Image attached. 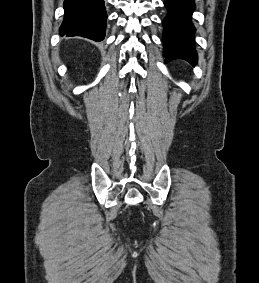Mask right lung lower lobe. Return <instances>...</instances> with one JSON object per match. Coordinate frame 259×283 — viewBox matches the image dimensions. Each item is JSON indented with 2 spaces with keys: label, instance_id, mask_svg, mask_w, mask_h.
Wrapping results in <instances>:
<instances>
[{
  "label": "right lung lower lobe",
  "instance_id": "obj_1",
  "mask_svg": "<svg viewBox=\"0 0 259 283\" xmlns=\"http://www.w3.org/2000/svg\"><path fill=\"white\" fill-rule=\"evenodd\" d=\"M61 36H83L101 41L105 36L106 11L104 0H65Z\"/></svg>",
  "mask_w": 259,
  "mask_h": 283
}]
</instances>
